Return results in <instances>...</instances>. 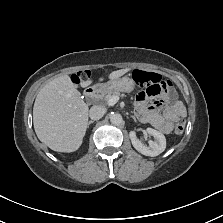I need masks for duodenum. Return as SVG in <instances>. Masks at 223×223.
<instances>
[{
	"label": "duodenum",
	"instance_id": "410a0bca",
	"mask_svg": "<svg viewBox=\"0 0 223 223\" xmlns=\"http://www.w3.org/2000/svg\"><path fill=\"white\" fill-rule=\"evenodd\" d=\"M103 92H104V87L102 84L95 85L87 90V92L85 93V100L89 104H91L96 100V97L99 94H102Z\"/></svg>",
	"mask_w": 223,
	"mask_h": 223
}]
</instances>
